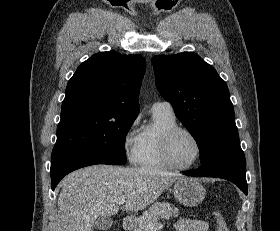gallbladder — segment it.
<instances>
[{"mask_svg": "<svg viewBox=\"0 0 280 231\" xmlns=\"http://www.w3.org/2000/svg\"><path fill=\"white\" fill-rule=\"evenodd\" d=\"M112 223L113 221L111 217H103V215H99L97 221H95L94 227H96V229H109Z\"/></svg>", "mask_w": 280, "mask_h": 231, "instance_id": "obj_1", "label": "gallbladder"}]
</instances>
